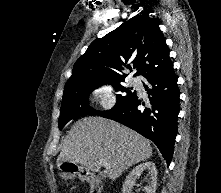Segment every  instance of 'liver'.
Instances as JSON below:
<instances>
[{
    "mask_svg": "<svg viewBox=\"0 0 221 193\" xmlns=\"http://www.w3.org/2000/svg\"><path fill=\"white\" fill-rule=\"evenodd\" d=\"M150 141L121 124L101 117H86L71 127L57 158V167L73 162L98 172L99 160L110 166L108 177L114 181L130 168L152 156Z\"/></svg>",
    "mask_w": 221,
    "mask_h": 193,
    "instance_id": "1",
    "label": "liver"
}]
</instances>
